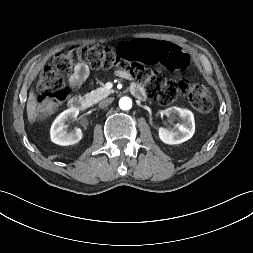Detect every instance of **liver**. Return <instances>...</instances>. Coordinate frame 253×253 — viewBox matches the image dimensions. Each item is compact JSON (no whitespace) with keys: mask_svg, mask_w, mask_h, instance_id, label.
I'll return each instance as SVG.
<instances>
[{"mask_svg":"<svg viewBox=\"0 0 253 253\" xmlns=\"http://www.w3.org/2000/svg\"><path fill=\"white\" fill-rule=\"evenodd\" d=\"M27 116L29 122H32L37 115V101L33 91H30L27 101Z\"/></svg>","mask_w":253,"mask_h":253,"instance_id":"1","label":"liver"}]
</instances>
